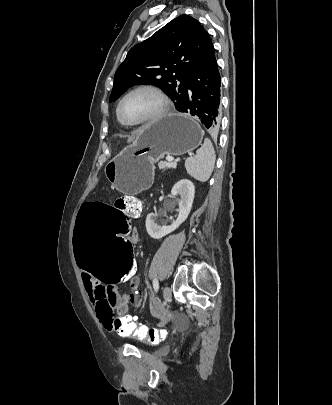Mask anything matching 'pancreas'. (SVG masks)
I'll use <instances>...</instances> for the list:
<instances>
[{
	"mask_svg": "<svg viewBox=\"0 0 332 405\" xmlns=\"http://www.w3.org/2000/svg\"><path fill=\"white\" fill-rule=\"evenodd\" d=\"M158 167H159V169H161V170H167V169L172 168V167L169 166V162H165V161L159 162V163H158Z\"/></svg>",
	"mask_w": 332,
	"mask_h": 405,
	"instance_id": "pancreas-1",
	"label": "pancreas"
}]
</instances>
